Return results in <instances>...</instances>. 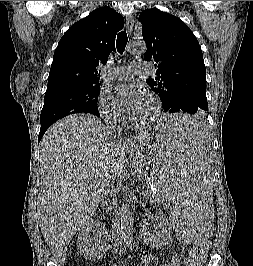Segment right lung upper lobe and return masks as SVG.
Listing matches in <instances>:
<instances>
[{"instance_id":"obj_1","label":"right lung upper lobe","mask_w":253,"mask_h":266,"mask_svg":"<svg viewBox=\"0 0 253 266\" xmlns=\"http://www.w3.org/2000/svg\"><path fill=\"white\" fill-rule=\"evenodd\" d=\"M123 26V17L109 7L98 8L72 25L55 50L47 90L99 83L96 68L107 62Z\"/></svg>"}]
</instances>
